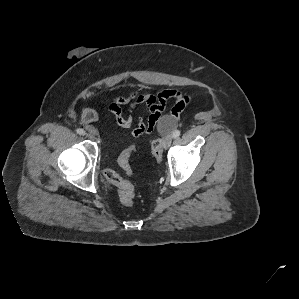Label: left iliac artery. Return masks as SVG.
<instances>
[{
    "mask_svg": "<svg viewBox=\"0 0 299 299\" xmlns=\"http://www.w3.org/2000/svg\"><path fill=\"white\" fill-rule=\"evenodd\" d=\"M173 138H178L179 136H180V131L179 130H175L174 132H173Z\"/></svg>",
    "mask_w": 299,
    "mask_h": 299,
    "instance_id": "1",
    "label": "left iliac artery"
}]
</instances>
